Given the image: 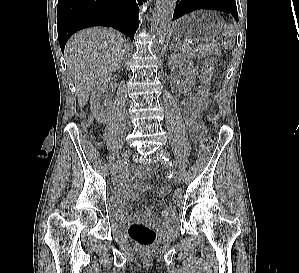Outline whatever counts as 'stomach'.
<instances>
[{"mask_svg":"<svg viewBox=\"0 0 299 273\" xmlns=\"http://www.w3.org/2000/svg\"><path fill=\"white\" fill-rule=\"evenodd\" d=\"M223 26V20L216 13L197 11L179 19L174 31L185 40L204 41L218 35Z\"/></svg>","mask_w":299,"mask_h":273,"instance_id":"0dacf381","label":"stomach"}]
</instances>
